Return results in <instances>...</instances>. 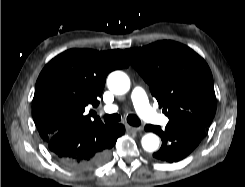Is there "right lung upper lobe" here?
Wrapping results in <instances>:
<instances>
[{
  "instance_id": "obj_1",
  "label": "right lung upper lobe",
  "mask_w": 245,
  "mask_h": 187,
  "mask_svg": "<svg viewBox=\"0 0 245 187\" xmlns=\"http://www.w3.org/2000/svg\"><path fill=\"white\" fill-rule=\"evenodd\" d=\"M123 51L99 52L70 49L53 58L40 73L32 102V115L40 136L48 141L54 134L91 123L97 116L85 115L87 105L97 107L106 76L126 68Z\"/></svg>"
}]
</instances>
